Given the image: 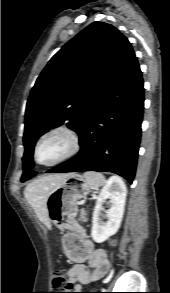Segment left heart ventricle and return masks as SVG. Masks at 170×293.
I'll return each mask as SVG.
<instances>
[{"instance_id": "obj_1", "label": "left heart ventricle", "mask_w": 170, "mask_h": 293, "mask_svg": "<svg viewBox=\"0 0 170 293\" xmlns=\"http://www.w3.org/2000/svg\"><path fill=\"white\" fill-rule=\"evenodd\" d=\"M70 148V139L64 132L48 136L39 146L38 159L49 163L62 157Z\"/></svg>"}]
</instances>
